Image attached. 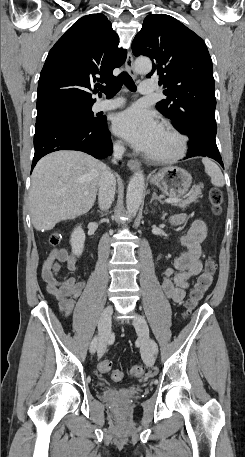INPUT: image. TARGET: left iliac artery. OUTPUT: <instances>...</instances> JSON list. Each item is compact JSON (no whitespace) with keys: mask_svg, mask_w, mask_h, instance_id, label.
Instances as JSON below:
<instances>
[{"mask_svg":"<svg viewBox=\"0 0 245 457\" xmlns=\"http://www.w3.org/2000/svg\"><path fill=\"white\" fill-rule=\"evenodd\" d=\"M150 344H151V348H152L153 352L157 353V351H158L157 344L153 340L150 341Z\"/></svg>","mask_w":245,"mask_h":457,"instance_id":"44dca946","label":"left iliac artery"}]
</instances>
